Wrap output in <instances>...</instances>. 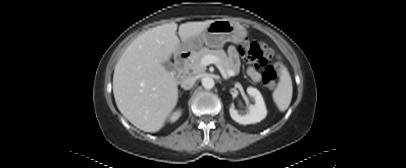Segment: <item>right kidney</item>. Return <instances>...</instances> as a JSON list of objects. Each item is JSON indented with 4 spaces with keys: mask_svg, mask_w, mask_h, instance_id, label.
<instances>
[{
    "mask_svg": "<svg viewBox=\"0 0 406 168\" xmlns=\"http://www.w3.org/2000/svg\"><path fill=\"white\" fill-rule=\"evenodd\" d=\"M181 115V111H176L170 118L171 122H175Z\"/></svg>",
    "mask_w": 406,
    "mask_h": 168,
    "instance_id": "ca27d5eb",
    "label": "right kidney"
}]
</instances>
